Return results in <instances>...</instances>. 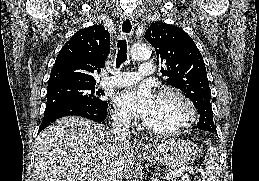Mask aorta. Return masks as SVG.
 Segmentation results:
<instances>
[{
	"instance_id": "obj_1",
	"label": "aorta",
	"mask_w": 259,
	"mask_h": 181,
	"mask_svg": "<svg viewBox=\"0 0 259 181\" xmlns=\"http://www.w3.org/2000/svg\"><path fill=\"white\" fill-rule=\"evenodd\" d=\"M150 54V48L145 43H137L131 48V57L136 60L146 59Z\"/></svg>"
}]
</instances>
